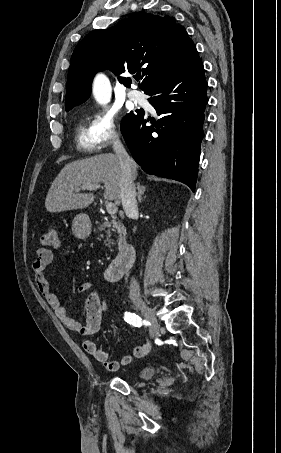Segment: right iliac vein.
Masks as SVG:
<instances>
[{"label": "right iliac vein", "mask_w": 281, "mask_h": 453, "mask_svg": "<svg viewBox=\"0 0 281 453\" xmlns=\"http://www.w3.org/2000/svg\"><path fill=\"white\" fill-rule=\"evenodd\" d=\"M134 306L136 309H139L142 311V316L149 321L152 325V330L151 333L153 334L151 337L154 339L158 331H160L161 326L155 316V311L152 308H148L147 303H144V301H135Z\"/></svg>", "instance_id": "obj_1"}]
</instances>
